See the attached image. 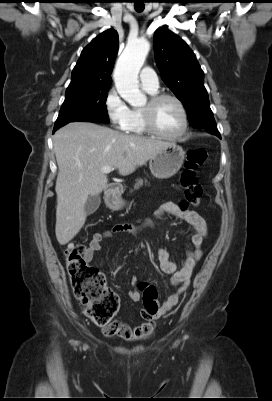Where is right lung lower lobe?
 Here are the masks:
<instances>
[{
  "mask_svg": "<svg viewBox=\"0 0 272 401\" xmlns=\"http://www.w3.org/2000/svg\"><path fill=\"white\" fill-rule=\"evenodd\" d=\"M57 129L54 128L53 133L56 131Z\"/></svg>",
  "mask_w": 272,
  "mask_h": 401,
  "instance_id": "right-lung-lower-lobe-1",
  "label": "right lung lower lobe"
}]
</instances>
